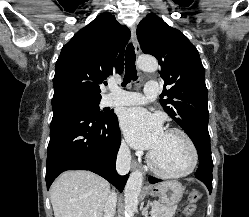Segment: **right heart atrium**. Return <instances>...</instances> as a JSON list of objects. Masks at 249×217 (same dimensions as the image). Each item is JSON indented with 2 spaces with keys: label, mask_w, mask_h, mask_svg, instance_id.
Returning <instances> with one entry per match:
<instances>
[{
  "label": "right heart atrium",
  "mask_w": 249,
  "mask_h": 217,
  "mask_svg": "<svg viewBox=\"0 0 249 217\" xmlns=\"http://www.w3.org/2000/svg\"><path fill=\"white\" fill-rule=\"evenodd\" d=\"M122 149H123V150H126V149H127L125 143L122 144Z\"/></svg>",
  "instance_id": "1"
}]
</instances>
